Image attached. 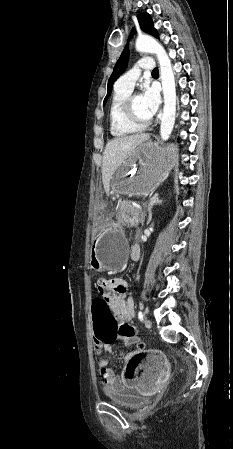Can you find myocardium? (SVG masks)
Returning a JSON list of instances; mask_svg holds the SVG:
<instances>
[{"label": "myocardium", "instance_id": "f54148a6", "mask_svg": "<svg viewBox=\"0 0 233 449\" xmlns=\"http://www.w3.org/2000/svg\"><path fill=\"white\" fill-rule=\"evenodd\" d=\"M138 95L137 92H131L124 100L123 103V114L124 117L132 124L139 126V127H146L152 122V116H149L147 118H141L139 117L134 109V99Z\"/></svg>", "mask_w": 233, "mask_h": 449}]
</instances>
